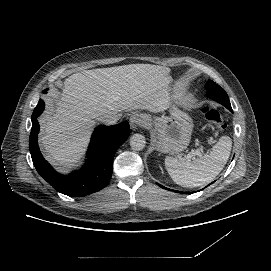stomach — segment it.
Returning a JSON list of instances; mask_svg holds the SVG:
<instances>
[{
	"mask_svg": "<svg viewBox=\"0 0 271 271\" xmlns=\"http://www.w3.org/2000/svg\"><path fill=\"white\" fill-rule=\"evenodd\" d=\"M170 117H154L147 114H140L142 122H151L154 125L153 138L156 149L163 153H180L185 150L190 143L193 129L191 117L172 108Z\"/></svg>",
	"mask_w": 271,
	"mask_h": 271,
	"instance_id": "1",
	"label": "stomach"
}]
</instances>
